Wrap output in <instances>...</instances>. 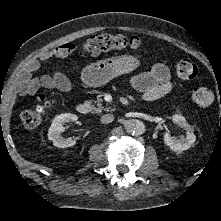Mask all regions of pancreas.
I'll use <instances>...</instances> for the list:
<instances>
[{"mask_svg": "<svg viewBox=\"0 0 221 221\" xmlns=\"http://www.w3.org/2000/svg\"><path fill=\"white\" fill-rule=\"evenodd\" d=\"M97 105L96 106H92L91 107V112L93 114H99L101 113L103 110L109 111V108H106L102 105L101 100L96 101Z\"/></svg>", "mask_w": 221, "mask_h": 221, "instance_id": "cf45deb5", "label": "pancreas"}]
</instances>
